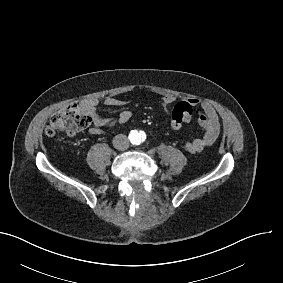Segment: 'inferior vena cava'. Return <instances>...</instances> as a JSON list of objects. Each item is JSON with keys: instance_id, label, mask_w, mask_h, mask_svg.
<instances>
[{"instance_id": "602c4592", "label": "inferior vena cava", "mask_w": 283, "mask_h": 283, "mask_svg": "<svg viewBox=\"0 0 283 283\" xmlns=\"http://www.w3.org/2000/svg\"><path fill=\"white\" fill-rule=\"evenodd\" d=\"M113 146L115 149L124 151L129 148V141L126 135L118 134L113 138Z\"/></svg>"}]
</instances>
